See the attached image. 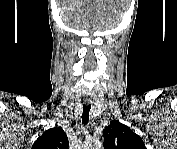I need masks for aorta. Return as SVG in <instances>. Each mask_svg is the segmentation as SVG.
Listing matches in <instances>:
<instances>
[{
    "mask_svg": "<svg viewBox=\"0 0 177 149\" xmlns=\"http://www.w3.org/2000/svg\"><path fill=\"white\" fill-rule=\"evenodd\" d=\"M86 149H101V144L99 142H94L87 145Z\"/></svg>",
    "mask_w": 177,
    "mask_h": 149,
    "instance_id": "1",
    "label": "aorta"
}]
</instances>
